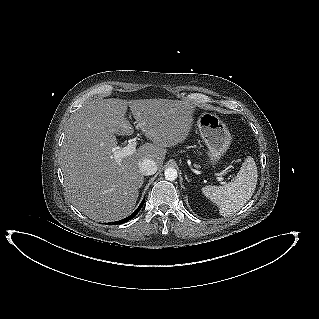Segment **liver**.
I'll list each match as a JSON object with an SVG mask.
<instances>
[{"instance_id": "obj_1", "label": "liver", "mask_w": 319, "mask_h": 319, "mask_svg": "<svg viewBox=\"0 0 319 319\" xmlns=\"http://www.w3.org/2000/svg\"><path fill=\"white\" fill-rule=\"evenodd\" d=\"M135 127L153 143L140 146L124 157L114 158L116 135H131L127 108ZM194 105L168 99H101L86 101L71 117L60 151V164L69 201L97 222L127 217L134 209L144 176L143 159L163 165L166 148L183 142L193 122Z\"/></svg>"}]
</instances>
